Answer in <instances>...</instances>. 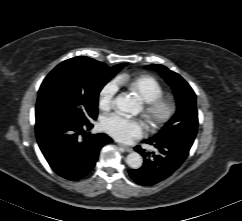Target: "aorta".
Masks as SVG:
<instances>
[{
  "label": "aorta",
  "instance_id": "obj_1",
  "mask_svg": "<svg viewBox=\"0 0 242 221\" xmlns=\"http://www.w3.org/2000/svg\"><path fill=\"white\" fill-rule=\"evenodd\" d=\"M114 103L116 107L123 112L132 113L137 109V102L130 95L119 96L114 100ZM126 163L129 167L138 169L142 166L143 159L139 153L132 152L127 155Z\"/></svg>",
  "mask_w": 242,
  "mask_h": 221
}]
</instances>
